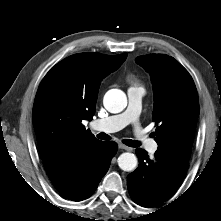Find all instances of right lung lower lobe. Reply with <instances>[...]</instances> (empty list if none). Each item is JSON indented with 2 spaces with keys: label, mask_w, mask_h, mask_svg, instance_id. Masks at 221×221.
Wrapping results in <instances>:
<instances>
[{
  "label": "right lung lower lobe",
  "mask_w": 221,
  "mask_h": 221,
  "mask_svg": "<svg viewBox=\"0 0 221 221\" xmlns=\"http://www.w3.org/2000/svg\"><path fill=\"white\" fill-rule=\"evenodd\" d=\"M116 152L115 142L98 141L44 165L61 195L69 200L82 201L93 194Z\"/></svg>",
  "instance_id": "obj_1"
}]
</instances>
